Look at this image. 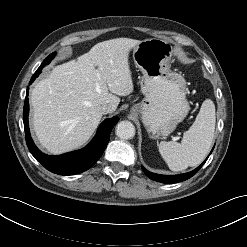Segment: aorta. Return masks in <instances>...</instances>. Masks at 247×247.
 <instances>
[{"label": "aorta", "instance_id": "762f6f07", "mask_svg": "<svg viewBox=\"0 0 247 247\" xmlns=\"http://www.w3.org/2000/svg\"><path fill=\"white\" fill-rule=\"evenodd\" d=\"M116 135L120 139H132L135 136V126L130 121H121L116 126Z\"/></svg>", "mask_w": 247, "mask_h": 247}]
</instances>
